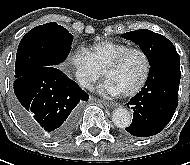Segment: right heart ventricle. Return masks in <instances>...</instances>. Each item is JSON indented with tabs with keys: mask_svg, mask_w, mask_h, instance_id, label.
I'll return each mask as SVG.
<instances>
[{
	"mask_svg": "<svg viewBox=\"0 0 190 165\" xmlns=\"http://www.w3.org/2000/svg\"><path fill=\"white\" fill-rule=\"evenodd\" d=\"M128 48L130 46L125 43L106 40L92 44L88 51L96 65L103 71L113 58Z\"/></svg>",
	"mask_w": 190,
	"mask_h": 165,
	"instance_id": "obj_1",
	"label": "right heart ventricle"
}]
</instances>
